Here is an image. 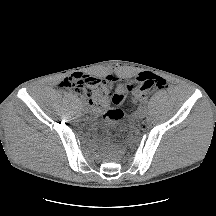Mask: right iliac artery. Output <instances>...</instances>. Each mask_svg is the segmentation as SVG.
Instances as JSON below:
<instances>
[{"label":"right iliac artery","mask_w":216,"mask_h":216,"mask_svg":"<svg viewBox=\"0 0 216 216\" xmlns=\"http://www.w3.org/2000/svg\"><path fill=\"white\" fill-rule=\"evenodd\" d=\"M79 106H81L82 111H87L86 103L82 99L79 101Z\"/></svg>","instance_id":"1"}]
</instances>
